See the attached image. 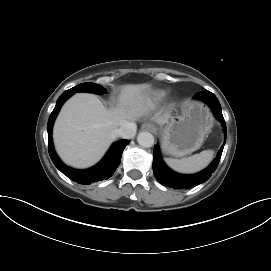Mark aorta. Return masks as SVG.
<instances>
[{"mask_svg":"<svg viewBox=\"0 0 271 271\" xmlns=\"http://www.w3.org/2000/svg\"><path fill=\"white\" fill-rule=\"evenodd\" d=\"M137 142L140 146L150 148L154 145V136L149 132H140L137 136Z\"/></svg>","mask_w":271,"mask_h":271,"instance_id":"1","label":"aorta"}]
</instances>
